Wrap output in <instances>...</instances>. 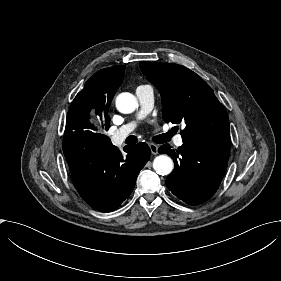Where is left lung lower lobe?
<instances>
[{"mask_svg":"<svg viewBox=\"0 0 281 281\" xmlns=\"http://www.w3.org/2000/svg\"><path fill=\"white\" fill-rule=\"evenodd\" d=\"M230 143H183L175 152L169 144L159 148L175 163L166 185L180 200L199 205L218 189L227 169Z\"/></svg>","mask_w":281,"mask_h":281,"instance_id":"left-lung-lower-lobe-1","label":"left lung lower lobe"}]
</instances>
